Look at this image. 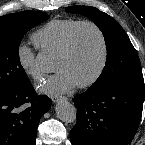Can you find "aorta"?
Returning a JSON list of instances; mask_svg holds the SVG:
<instances>
[{
	"label": "aorta",
	"instance_id": "obj_1",
	"mask_svg": "<svg viewBox=\"0 0 145 145\" xmlns=\"http://www.w3.org/2000/svg\"><path fill=\"white\" fill-rule=\"evenodd\" d=\"M43 56L39 54L37 56V61L42 62ZM57 117L66 123H73L76 121L77 110L74 105L66 100H61L58 102L55 108Z\"/></svg>",
	"mask_w": 145,
	"mask_h": 145
}]
</instances>
